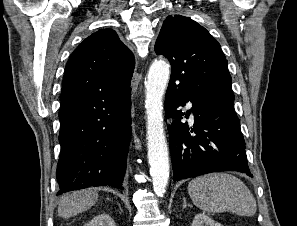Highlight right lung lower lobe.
<instances>
[{
  "label": "right lung lower lobe",
  "mask_w": 297,
  "mask_h": 226,
  "mask_svg": "<svg viewBox=\"0 0 297 226\" xmlns=\"http://www.w3.org/2000/svg\"><path fill=\"white\" fill-rule=\"evenodd\" d=\"M131 88L61 101L57 195L91 186L123 189L131 135Z\"/></svg>",
  "instance_id": "right-lung-lower-lobe-1"
}]
</instances>
